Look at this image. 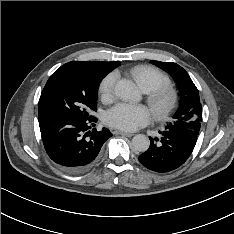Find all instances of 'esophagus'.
<instances>
[{"label": "esophagus", "instance_id": "esophagus-1", "mask_svg": "<svg viewBox=\"0 0 234 234\" xmlns=\"http://www.w3.org/2000/svg\"><path fill=\"white\" fill-rule=\"evenodd\" d=\"M115 134H119V135L126 136V137H132L133 136L132 133L123 132V131H115Z\"/></svg>", "mask_w": 234, "mask_h": 234}]
</instances>
